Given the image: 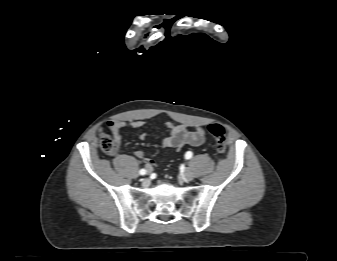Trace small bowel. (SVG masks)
<instances>
[{"instance_id":"1","label":"small bowel","mask_w":337,"mask_h":261,"mask_svg":"<svg viewBox=\"0 0 337 261\" xmlns=\"http://www.w3.org/2000/svg\"><path fill=\"white\" fill-rule=\"evenodd\" d=\"M145 125V122L142 120H135L130 122L119 121V120H110L107 122V127L112 132L115 142V151L118 149L121 140H122V131L125 128H141ZM168 129V135L162 139L161 145L164 148H173L179 149L184 145L191 146H201L206 139L205 131L202 127L190 128L186 125H175L171 122L166 124ZM148 135L143 133L140 135L141 140H147ZM135 156L141 160L145 161V167L147 169H152L157 166L156 161L153 159L147 158L145 153L142 150L135 152Z\"/></svg>"}]
</instances>
